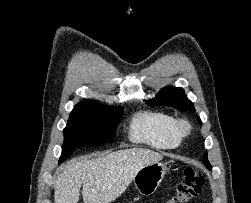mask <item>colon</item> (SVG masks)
<instances>
[{
  "mask_svg": "<svg viewBox=\"0 0 251 203\" xmlns=\"http://www.w3.org/2000/svg\"><path fill=\"white\" fill-rule=\"evenodd\" d=\"M203 184L201 172L189 167L185 170L184 179L177 184L174 194L164 203H189L199 196Z\"/></svg>",
  "mask_w": 251,
  "mask_h": 203,
  "instance_id": "obj_1",
  "label": "colon"
}]
</instances>
